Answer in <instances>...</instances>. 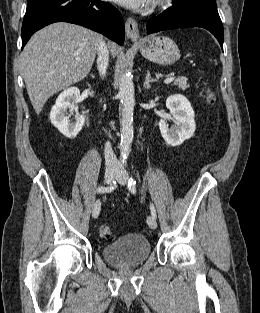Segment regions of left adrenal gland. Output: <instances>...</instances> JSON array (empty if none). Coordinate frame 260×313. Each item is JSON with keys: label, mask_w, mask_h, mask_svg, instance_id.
I'll list each match as a JSON object with an SVG mask.
<instances>
[{"label": "left adrenal gland", "mask_w": 260, "mask_h": 313, "mask_svg": "<svg viewBox=\"0 0 260 313\" xmlns=\"http://www.w3.org/2000/svg\"><path fill=\"white\" fill-rule=\"evenodd\" d=\"M157 81V79H154L150 76V71L147 70V74L145 76V81H144V88L145 89H150V83H153Z\"/></svg>", "instance_id": "obj_1"}]
</instances>
